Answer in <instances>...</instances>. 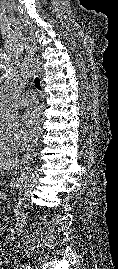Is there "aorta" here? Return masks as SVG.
<instances>
[{
  "label": "aorta",
  "instance_id": "1",
  "mask_svg": "<svg viewBox=\"0 0 118 269\" xmlns=\"http://www.w3.org/2000/svg\"><path fill=\"white\" fill-rule=\"evenodd\" d=\"M35 71V61L27 58L11 73L0 92V116L7 121L18 117V98ZM39 177L38 168H27L22 171L18 180L19 193L23 194L34 185Z\"/></svg>",
  "mask_w": 118,
  "mask_h": 269
}]
</instances>
